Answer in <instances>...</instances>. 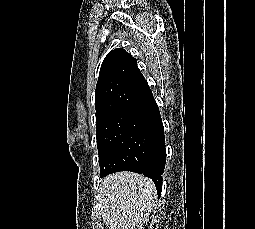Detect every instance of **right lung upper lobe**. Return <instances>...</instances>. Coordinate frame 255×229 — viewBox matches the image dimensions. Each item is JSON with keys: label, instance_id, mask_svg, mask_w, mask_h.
Returning a JSON list of instances; mask_svg holds the SVG:
<instances>
[{"label": "right lung upper lobe", "instance_id": "cb5924a9", "mask_svg": "<svg viewBox=\"0 0 255 229\" xmlns=\"http://www.w3.org/2000/svg\"><path fill=\"white\" fill-rule=\"evenodd\" d=\"M152 98L137 60L122 48L114 49L103 60L96 85V129L111 117Z\"/></svg>", "mask_w": 255, "mask_h": 229}]
</instances>
